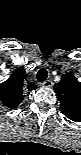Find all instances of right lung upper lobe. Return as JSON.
Listing matches in <instances>:
<instances>
[{"label":"right lung upper lobe","instance_id":"right-lung-upper-lobe-1","mask_svg":"<svg viewBox=\"0 0 81 155\" xmlns=\"http://www.w3.org/2000/svg\"><path fill=\"white\" fill-rule=\"evenodd\" d=\"M35 89H37L36 84L27 81L24 67H19L8 80L0 84V99L6 107L16 108L23 100V92Z\"/></svg>","mask_w":81,"mask_h":155}]
</instances>
